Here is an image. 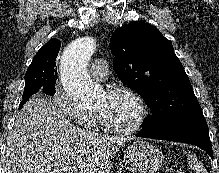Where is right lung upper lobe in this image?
I'll return each mask as SVG.
<instances>
[{"label":"right lung upper lobe","instance_id":"right-lung-upper-lobe-1","mask_svg":"<svg viewBox=\"0 0 219 173\" xmlns=\"http://www.w3.org/2000/svg\"><path fill=\"white\" fill-rule=\"evenodd\" d=\"M61 47V42L57 39L48 41L34 56L30 66H39L45 71L53 72L57 75L55 70V60Z\"/></svg>","mask_w":219,"mask_h":173}]
</instances>
